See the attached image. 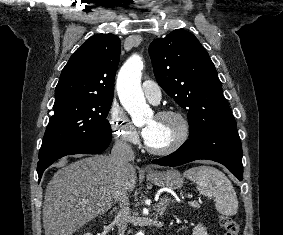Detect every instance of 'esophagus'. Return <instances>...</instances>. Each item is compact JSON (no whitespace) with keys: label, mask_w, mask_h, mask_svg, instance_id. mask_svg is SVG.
I'll list each match as a JSON object with an SVG mask.
<instances>
[{"label":"esophagus","mask_w":283,"mask_h":235,"mask_svg":"<svg viewBox=\"0 0 283 235\" xmlns=\"http://www.w3.org/2000/svg\"><path fill=\"white\" fill-rule=\"evenodd\" d=\"M145 171H146V172H152L153 170H152V168H150V167H145Z\"/></svg>","instance_id":"34e87169"}]
</instances>
